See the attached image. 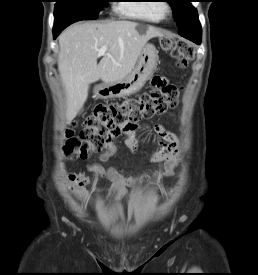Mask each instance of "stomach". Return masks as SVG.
<instances>
[{"label":"stomach","instance_id":"stomach-1","mask_svg":"<svg viewBox=\"0 0 258 275\" xmlns=\"http://www.w3.org/2000/svg\"><path fill=\"white\" fill-rule=\"evenodd\" d=\"M158 52L154 45L146 44L136 66L123 79L112 83H102L94 88L99 99L119 98L138 92L156 68Z\"/></svg>","mask_w":258,"mask_h":275}]
</instances>
